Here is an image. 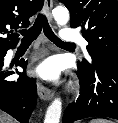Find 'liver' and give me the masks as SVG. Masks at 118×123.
Returning a JSON list of instances; mask_svg holds the SVG:
<instances>
[{"mask_svg": "<svg viewBox=\"0 0 118 123\" xmlns=\"http://www.w3.org/2000/svg\"><path fill=\"white\" fill-rule=\"evenodd\" d=\"M0 123H14V121L9 115L0 111Z\"/></svg>", "mask_w": 118, "mask_h": 123, "instance_id": "liver-1", "label": "liver"}]
</instances>
